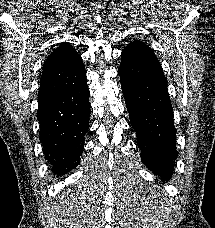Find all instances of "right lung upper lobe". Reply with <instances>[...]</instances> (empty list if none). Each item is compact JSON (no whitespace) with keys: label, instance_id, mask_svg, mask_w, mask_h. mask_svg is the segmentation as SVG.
Returning a JSON list of instances; mask_svg holds the SVG:
<instances>
[{"label":"right lung upper lobe","instance_id":"1","mask_svg":"<svg viewBox=\"0 0 215 228\" xmlns=\"http://www.w3.org/2000/svg\"><path fill=\"white\" fill-rule=\"evenodd\" d=\"M85 75L81 56L69 43H61L45 60L38 93V103L43 104L60 95L67 81Z\"/></svg>","mask_w":215,"mask_h":228}]
</instances>
